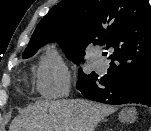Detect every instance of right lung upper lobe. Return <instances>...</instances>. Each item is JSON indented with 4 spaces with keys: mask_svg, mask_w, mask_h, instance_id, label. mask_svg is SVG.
I'll use <instances>...</instances> for the list:
<instances>
[{
    "mask_svg": "<svg viewBox=\"0 0 151 131\" xmlns=\"http://www.w3.org/2000/svg\"><path fill=\"white\" fill-rule=\"evenodd\" d=\"M58 41L85 54L112 48L107 74L151 71V7L147 0H64L37 25L28 46Z\"/></svg>",
    "mask_w": 151,
    "mask_h": 131,
    "instance_id": "obj_1",
    "label": "right lung upper lobe"
}]
</instances>
